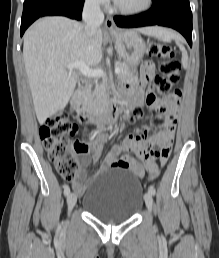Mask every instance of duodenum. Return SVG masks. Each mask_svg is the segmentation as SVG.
<instances>
[{
    "label": "duodenum",
    "mask_w": 219,
    "mask_h": 258,
    "mask_svg": "<svg viewBox=\"0 0 219 258\" xmlns=\"http://www.w3.org/2000/svg\"><path fill=\"white\" fill-rule=\"evenodd\" d=\"M86 89L87 85L85 84H82L79 88L78 98L80 101L84 99ZM119 113L120 102H113L108 99H104L92 108L81 107L79 110V120L103 126L114 122Z\"/></svg>",
    "instance_id": "duodenum-1"
}]
</instances>
